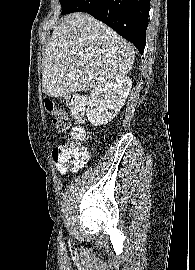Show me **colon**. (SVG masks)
I'll use <instances>...</instances> for the list:
<instances>
[{"label": "colon", "instance_id": "obj_1", "mask_svg": "<svg viewBox=\"0 0 195 270\" xmlns=\"http://www.w3.org/2000/svg\"><path fill=\"white\" fill-rule=\"evenodd\" d=\"M65 105L73 118L81 123L86 110V100L83 96L72 94L65 100ZM46 111L54 116L55 130L62 134L69 130L70 119L65 110L57 106L52 100H45ZM85 133L81 127L73 129L64 142L56 146L52 151V157L57 169L61 173L73 170L83 165L88 157L84 147Z\"/></svg>", "mask_w": 195, "mask_h": 270}]
</instances>
